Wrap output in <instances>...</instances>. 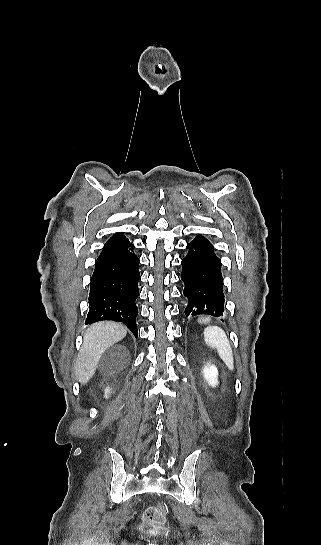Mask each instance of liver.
Segmentation results:
<instances>
[{
    "label": "liver",
    "instance_id": "obj_1",
    "mask_svg": "<svg viewBox=\"0 0 321 545\" xmlns=\"http://www.w3.org/2000/svg\"><path fill=\"white\" fill-rule=\"evenodd\" d=\"M126 333V327L112 321H101L87 329L75 365V377L81 385H86L93 377L103 353L122 341Z\"/></svg>",
    "mask_w": 321,
    "mask_h": 545
}]
</instances>
